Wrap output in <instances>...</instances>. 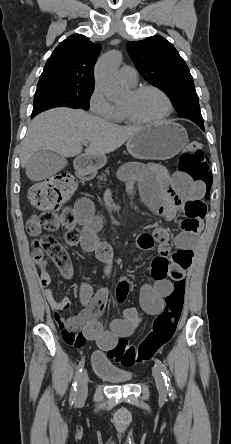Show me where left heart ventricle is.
<instances>
[{
  "instance_id": "1",
  "label": "left heart ventricle",
  "mask_w": 231,
  "mask_h": 444,
  "mask_svg": "<svg viewBox=\"0 0 231 444\" xmlns=\"http://www.w3.org/2000/svg\"><path fill=\"white\" fill-rule=\"evenodd\" d=\"M122 106L127 108L139 120H155L167 111L164 98L152 90L144 91L137 96H133L129 92Z\"/></svg>"
}]
</instances>
